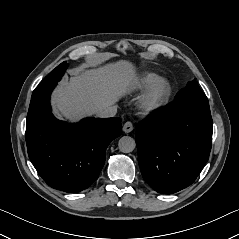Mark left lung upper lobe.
<instances>
[{
    "label": "left lung upper lobe",
    "mask_w": 239,
    "mask_h": 239,
    "mask_svg": "<svg viewBox=\"0 0 239 239\" xmlns=\"http://www.w3.org/2000/svg\"><path fill=\"white\" fill-rule=\"evenodd\" d=\"M185 97H196V98H207L205 94L202 92L196 80L188 83V86L178 92L176 95L175 101L180 100Z\"/></svg>",
    "instance_id": "5c2ea615"
}]
</instances>
